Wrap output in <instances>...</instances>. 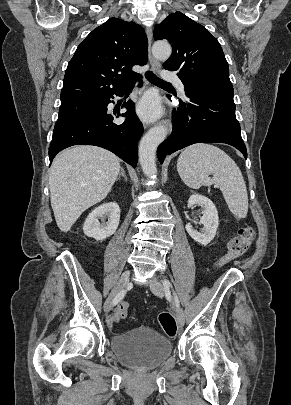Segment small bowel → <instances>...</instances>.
Wrapping results in <instances>:
<instances>
[{
    "label": "small bowel",
    "instance_id": "small-bowel-1",
    "mask_svg": "<svg viewBox=\"0 0 291 405\" xmlns=\"http://www.w3.org/2000/svg\"><path fill=\"white\" fill-rule=\"evenodd\" d=\"M115 325H116V324L113 323L110 319L108 320V326H109L110 328H114Z\"/></svg>",
    "mask_w": 291,
    "mask_h": 405
}]
</instances>
